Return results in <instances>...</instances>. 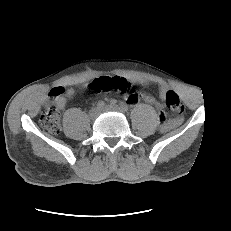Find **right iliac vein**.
Wrapping results in <instances>:
<instances>
[{
	"label": "right iliac vein",
	"instance_id": "right-iliac-vein-1",
	"mask_svg": "<svg viewBox=\"0 0 231 231\" xmlns=\"http://www.w3.org/2000/svg\"><path fill=\"white\" fill-rule=\"evenodd\" d=\"M100 113V109L96 108H92L89 112V115L92 119L96 118Z\"/></svg>",
	"mask_w": 231,
	"mask_h": 231
}]
</instances>
